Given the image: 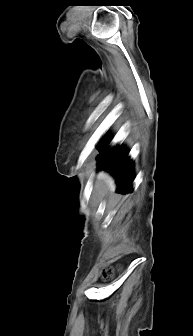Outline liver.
<instances>
[{
  "instance_id": "obj_1",
  "label": "liver",
  "mask_w": 193,
  "mask_h": 336,
  "mask_svg": "<svg viewBox=\"0 0 193 336\" xmlns=\"http://www.w3.org/2000/svg\"><path fill=\"white\" fill-rule=\"evenodd\" d=\"M95 168V165L92 164V169ZM95 194L100 200L107 198L108 204L115 206L119 203L120 198L115 194V185L111 176L104 172L100 171L97 174L95 182Z\"/></svg>"
}]
</instances>
